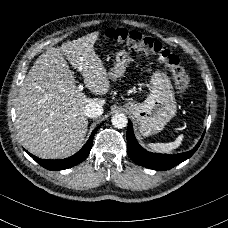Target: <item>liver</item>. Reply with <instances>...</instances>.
Listing matches in <instances>:
<instances>
[{
  "label": "liver",
  "instance_id": "liver-1",
  "mask_svg": "<svg viewBox=\"0 0 228 228\" xmlns=\"http://www.w3.org/2000/svg\"><path fill=\"white\" fill-rule=\"evenodd\" d=\"M98 32H92L60 48L41 54L22 82L16 107V124L23 146L43 159H61L76 153L85 140L89 100L76 86L67 61L80 72L86 87L97 95L108 92L110 82L101 59L94 51Z\"/></svg>",
  "mask_w": 228,
  "mask_h": 228
}]
</instances>
